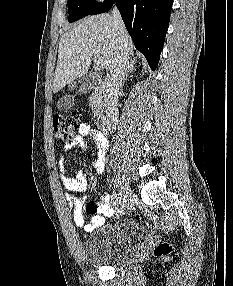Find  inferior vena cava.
Returning a JSON list of instances; mask_svg holds the SVG:
<instances>
[{
  "instance_id": "inferior-vena-cava-1",
  "label": "inferior vena cava",
  "mask_w": 233,
  "mask_h": 286,
  "mask_svg": "<svg viewBox=\"0 0 233 286\" xmlns=\"http://www.w3.org/2000/svg\"><path fill=\"white\" fill-rule=\"evenodd\" d=\"M112 14L114 29L119 31V37L117 38L119 46L110 72L105 79L104 98L107 105L108 127L115 129L119 117L117 96L125 78L129 55L123 43L122 30L124 29V23L117 7H114Z\"/></svg>"
}]
</instances>
